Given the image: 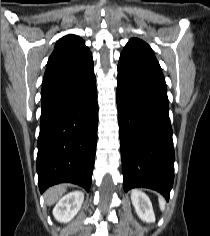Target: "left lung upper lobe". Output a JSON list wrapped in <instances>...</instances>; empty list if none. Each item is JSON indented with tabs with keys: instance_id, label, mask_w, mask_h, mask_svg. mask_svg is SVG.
<instances>
[{
	"instance_id": "obj_1",
	"label": "left lung upper lobe",
	"mask_w": 210,
	"mask_h": 236,
	"mask_svg": "<svg viewBox=\"0 0 210 236\" xmlns=\"http://www.w3.org/2000/svg\"><path fill=\"white\" fill-rule=\"evenodd\" d=\"M122 63L152 69L161 72V67L153 53V50L140 39H131L123 49L120 61Z\"/></svg>"
}]
</instances>
